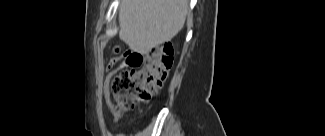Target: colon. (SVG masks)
I'll use <instances>...</instances> for the list:
<instances>
[{
	"label": "colon",
	"mask_w": 325,
	"mask_h": 136,
	"mask_svg": "<svg viewBox=\"0 0 325 136\" xmlns=\"http://www.w3.org/2000/svg\"><path fill=\"white\" fill-rule=\"evenodd\" d=\"M115 53L119 56L118 48ZM172 63L173 49L169 44L154 47L147 54L142 67L115 96L119 111H130L135 103L148 102L164 84Z\"/></svg>",
	"instance_id": "colon-1"
}]
</instances>
